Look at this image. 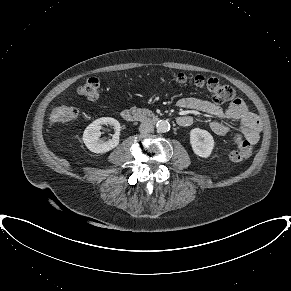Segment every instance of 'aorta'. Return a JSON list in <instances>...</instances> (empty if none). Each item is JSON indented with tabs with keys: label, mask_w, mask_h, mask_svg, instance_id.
<instances>
[{
	"label": "aorta",
	"mask_w": 291,
	"mask_h": 291,
	"mask_svg": "<svg viewBox=\"0 0 291 291\" xmlns=\"http://www.w3.org/2000/svg\"><path fill=\"white\" fill-rule=\"evenodd\" d=\"M156 128L159 132L165 133V132H168L170 130V124L166 120H159L156 123Z\"/></svg>",
	"instance_id": "1"
}]
</instances>
